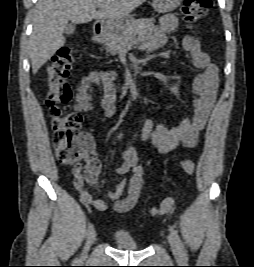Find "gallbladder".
<instances>
[{
    "label": "gallbladder",
    "instance_id": "1",
    "mask_svg": "<svg viewBox=\"0 0 254 267\" xmlns=\"http://www.w3.org/2000/svg\"><path fill=\"white\" fill-rule=\"evenodd\" d=\"M74 31H75V24L73 23L67 24L64 29V33L67 35L73 34Z\"/></svg>",
    "mask_w": 254,
    "mask_h": 267
}]
</instances>
